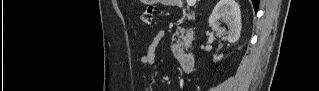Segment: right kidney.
Wrapping results in <instances>:
<instances>
[{
  "label": "right kidney",
  "instance_id": "right-kidney-1",
  "mask_svg": "<svg viewBox=\"0 0 319 91\" xmlns=\"http://www.w3.org/2000/svg\"><path fill=\"white\" fill-rule=\"evenodd\" d=\"M221 22L227 25V30L221 27ZM209 25L218 36L227 34L230 43L237 42L241 31V11L238 3L235 0H220L209 17ZM222 57L223 55H219L215 60Z\"/></svg>",
  "mask_w": 319,
  "mask_h": 91
}]
</instances>
